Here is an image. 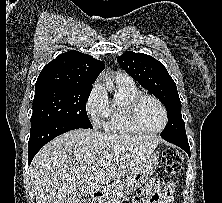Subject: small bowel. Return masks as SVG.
<instances>
[{
	"label": "small bowel",
	"instance_id": "1",
	"mask_svg": "<svg viewBox=\"0 0 222 203\" xmlns=\"http://www.w3.org/2000/svg\"><path fill=\"white\" fill-rule=\"evenodd\" d=\"M174 184L168 183L163 189L159 183L152 182L135 200V203H171Z\"/></svg>",
	"mask_w": 222,
	"mask_h": 203
}]
</instances>
